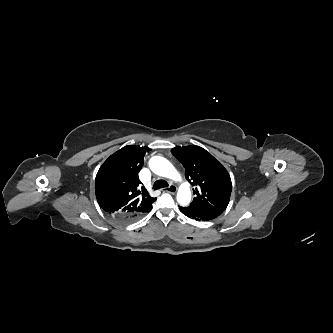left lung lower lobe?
<instances>
[{"label": "left lung lower lobe", "mask_w": 333, "mask_h": 333, "mask_svg": "<svg viewBox=\"0 0 333 333\" xmlns=\"http://www.w3.org/2000/svg\"><path fill=\"white\" fill-rule=\"evenodd\" d=\"M179 209L184 215L197 221H209L222 213L221 211L201 210L190 206H179Z\"/></svg>", "instance_id": "obj_1"}]
</instances>
